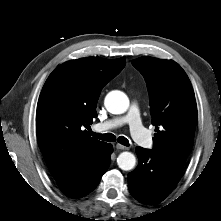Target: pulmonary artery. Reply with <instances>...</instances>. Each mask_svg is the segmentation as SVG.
Returning a JSON list of instances; mask_svg holds the SVG:
<instances>
[{
	"mask_svg": "<svg viewBox=\"0 0 221 221\" xmlns=\"http://www.w3.org/2000/svg\"><path fill=\"white\" fill-rule=\"evenodd\" d=\"M124 124L129 125L131 135L136 142L145 148H152L153 141L142 124L139 108L136 103H132L126 115L99 123L96 128L101 131H107Z\"/></svg>",
	"mask_w": 221,
	"mask_h": 221,
	"instance_id": "e3ab8cb5",
	"label": "pulmonary artery"
}]
</instances>
